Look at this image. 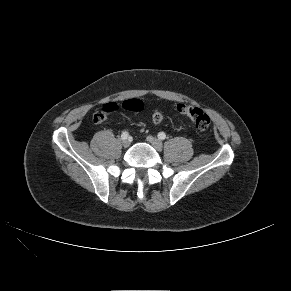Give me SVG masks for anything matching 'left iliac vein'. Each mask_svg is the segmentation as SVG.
<instances>
[{
  "label": "left iliac vein",
  "mask_w": 291,
  "mask_h": 291,
  "mask_svg": "<svg viewBox=\"0 0 291 291\" xmlns=\"http://www.w3.org/2000/svg\"><path fill=\"white\" fill-rule=\"evenodd\" d=\"M147 141L152 144V146L157 150L160 151L163 147L162 142L159 139L154 138L153 136H148Z\"/></svg>",
  "instance_id": "1"
}]
</instances>
